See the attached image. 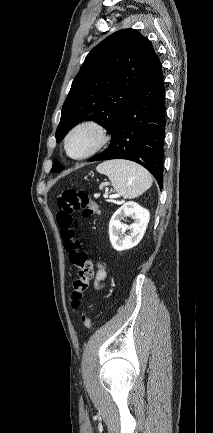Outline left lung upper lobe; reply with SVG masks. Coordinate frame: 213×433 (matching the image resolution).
Returning <instances> with one entry per match:
<instances>
[{
    "label": "left lung upper lobe",
    "mask_w": 213,
    "mask_h": 433,
    "mask_svg": "<svg viewBox=\"0 0 213 433\" xmlns=\"http://www.w3.org/2000/svg\"><path fill=\"white\" fill-rule=\"evenodd\" d=\"M158 56L135 29L119 30L86 56L62 106L56 141L82 121L93 120L111 133L120 114L145 80ZM63 169L54 162V172Z\"/></svg>",
    "instance_id": "1"
}]
</instances>
